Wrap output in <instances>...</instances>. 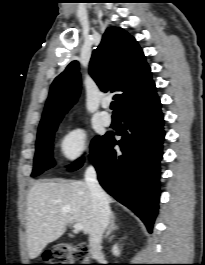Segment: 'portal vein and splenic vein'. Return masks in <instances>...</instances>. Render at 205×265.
Instances as JSON below:
<instances>
[{"label":"portal vein and splenic vein","mask_w":205,"mask_h":265,"mask_svg":"<svg viewBox=\"0 0 205 265\" xmlns=\"http://www.w3.org/2000/svg\"><path fill=\"white\" fill-rule=\"evenodd\" d=\"M73 227H74V230L77 231V232L81 231L83 229V226L81 224H79V223H75L73 225Z\"/></svg>","instance_id":"obj_1"}]
</instances>
